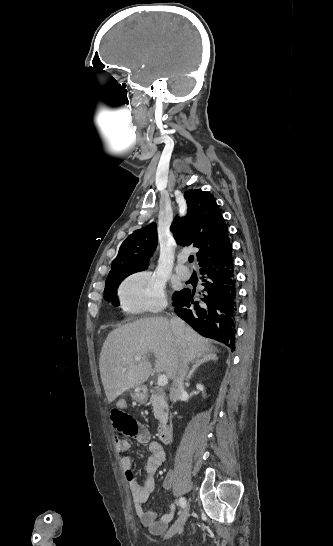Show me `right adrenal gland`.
<instances>
[{"instance_id": "right-adrenal-gland-1", "label": "right adrenal gland", "mask_w": 333, "mask_h": 546, "mask_svg": "<svg viewBox=\"0 0 333 546\" xmlns=\"http://www.w3.org/2000/svg\"><path fill=\"white\" fill-rule=\"evenodd\" d=\"M209 360H217L216 356L213 355V354H206V355H201V356H198V359L196 360L195 364L193 365L192 369L190 370V372L188 373L187 377H186V382L188 383L191 379V377L193 376L195 370L201 365L203 364L204 362H207Z\"/></svg>"}]
</instances>
